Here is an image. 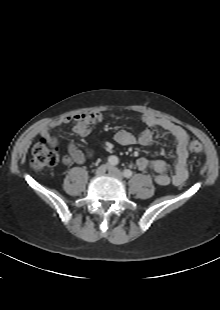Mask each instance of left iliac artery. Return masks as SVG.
Instances as JSON below:
<instances>
[{
  "mask_svg": "<svg viewBox=\"0 0 220 310\" xmlns=\"http://www.w3.org/2000/svg\"><path fill=\"white\" fill-rule=\"evenodd\" d=\"M123 175H124V177H126V178H130V177L132 176V171L129 170V169H125V170L123 171Z\"/></svg>",
  "mask_w": 220,
  "mask_h": 310,
  "instance_id": "obj_1",
  "label": "left iliac artery"
}]
</instances>
